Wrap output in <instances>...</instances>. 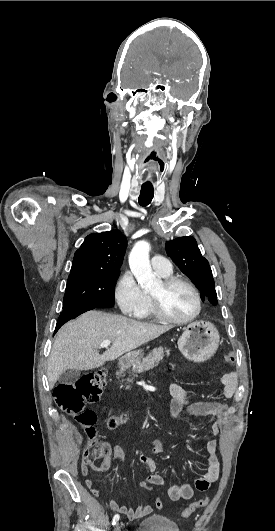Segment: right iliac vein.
Instances as JSON below:
<instances>
[{
  "label": "right iliac vein",
  "mask_w": 275,
  "mask_h": 531,
  "mask_svg": "<svg viewBox=\"0 0 275 531\" xmlns=\"http://www.w3.org/2000/svg\"><path fill=\"white\" fill-rule=\"evenodd\" d=\"M114 531H120V526L118 524L115 526Z\"/></svg>",
  "instance_id": "1"
}]
</instances>
